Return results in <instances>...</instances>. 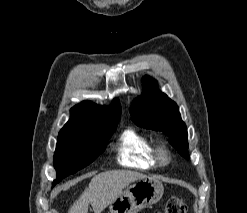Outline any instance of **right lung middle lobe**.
I'll return each mask as SVG.
<instances>
[{
    "label": "right lung middle lobe",
    "instance_id": "obj_1",
    "mask_svg": "<svg viewBox=\"0 0 247 213\" xmlns=\"http://www.w3.org/2000/svg\"><path fill=\"white\" fill-rule=\"evenodd\" d=\"M117 124L101 127L90 133L59 134L54 153L57 180L53 184L93 162L105 150Z\"/></svg>",
    "mask_w": 247,
    "mask_h": 213
}]
</instances>
